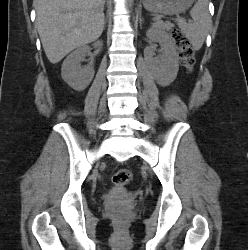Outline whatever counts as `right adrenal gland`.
<instances>
[{
    "label": "right adrenal gland",
    "mask_w": 248,
    "mask_h": 250,
    "mask_svg": "<svg viewBox=\"0 0 248 250\" xmlns=\"http://www.w3.org/2000/svg\"><path fill=\"white\" fill-rule=\"evenodd\" d=\"M106 22H107V19H105L104 24H106Z\"/></svg>",
    "instance_id": "1"
}]
</instances>
